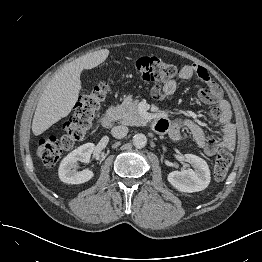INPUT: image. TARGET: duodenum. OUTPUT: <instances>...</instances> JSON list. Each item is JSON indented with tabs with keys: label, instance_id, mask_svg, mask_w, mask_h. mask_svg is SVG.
Returning <instances> with one entry per match:
<instances>
[{
	"label": "duodenum",
	"instance_id": "410a0bca",
	"mask_svg": "<svg viewBox=\"0 0 262 262\" xmlns=\"http://www.w3.org/2000/svg\"><path fill=\"white\" fill-rule=\"evenodd\" d=\"M117 119V113L116 112H109L102 116L101 118V124L105 128L111 127ZM159 122L156 123V130H158Z\"/></svg>",
	"mask_w": 262,
	"mask_h": 262
}]
</instances>
